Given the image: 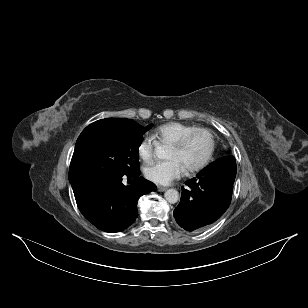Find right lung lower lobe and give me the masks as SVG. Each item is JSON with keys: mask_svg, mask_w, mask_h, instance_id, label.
Returning <instances> with one entry per match:
<instances>
[{"mask_svg": "<svg viewBox=\"0 0 308 308\" xmlns=\"http://www.w3.org/2000/svg\"><path fill=\"white\" fill-rule=\"evenodd\" d=\"M140 171L127 174L132 185L122 183L124 175L107 177L98 174L78 176L71 182L74 196L83 216L98 229L117 232L126 229L136 219L140 196L156 191V185Z\"/></svg>", "mask_w": 308, "mask_h": 308, "instance_id": "98d812e1", "label": "right lung lower lobe"}]
</instances>
